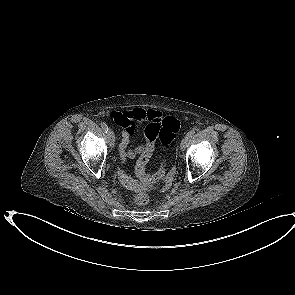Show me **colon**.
<instances>
[{"mask_svg": "<svg viewBox=\"0 0 295 295\" xmlns=\"http://www.w3.org/2000/svg\"><path fill=\"white\" fill-rule=\"evenodd\" d=\"M179 129L180 122L174 117H165L145 127V136L149 138V143L145 145L144 151L135 166V173L143 183L153 184L164 178L166 173L165 162L160 165L154 175H149L146 172V166L149 159L153 157V151L158 143V138L164 147H168ZM133 201L136 205L143 206L148 203L149 197L143 191H136L133 195Z\"/></svg>", "mask_w": 295, "mask_h": 295, "instance_id": "colon-1", "label": "colon"}]
</instances>
